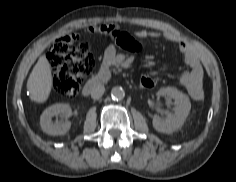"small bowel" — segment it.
I'll list each match as a JSON object with an SVG mask.
<instances>
[{
    "label": "small bowel",
    "instance_id": "obj_1",
    "mask_svg": "<svg viewBox=\"0 0 236 182\" xmlns=\"http://www.w3.org/2000/svg\"><path fill=\"white\" fill-rule=\"evenodd\" d=\"M137 35L142 39L161 38L176 43L179 53L189 67L180 75L179 83L186 89L192 99L201 100L204 97V70L197 52L189 44L171 32L153 33L146 30H141Z\"/></svg>",
    "mask_w": 236,
    "mask_h": 182
}]
</instances>
